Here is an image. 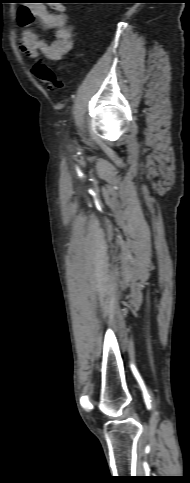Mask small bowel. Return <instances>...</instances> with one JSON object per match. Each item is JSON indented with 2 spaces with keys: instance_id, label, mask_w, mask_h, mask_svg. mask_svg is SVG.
<instances>
[{
  "instance_id": "1",
  "label": "small bowel",
  "mask_w": 190,
  "mask_h": 483,
  "mask_svg": "<svg viewBox=\"0 0 190 483\" xmlns=\"http://www.w3.org/2000/svg\"><path fill=\"white\" fill-rule=\"evenodd\" d=\"M34 3L20 7L17 12V20L24 27L20 37V50L29 58L43 54L50 61L65 60L73 48V27L67 23L65 7L54 5L51 12L45 4ZM34 19H38L44 28L54 31L53 41L48 42L28 28Z\"/></svg>"
}]
</instances>
